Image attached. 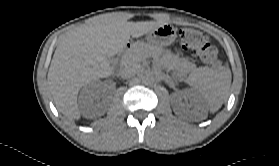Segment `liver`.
Masks as SVG:
<instances>
[{
    "label": "liver",
    "mask_w": 279,
    "mask_h": 166,
    "mask_svg": "<svg viewBox=\"0 0 279 166\" xmlns=\"http://www.w3.org/2000/svg\"><path fill=\"white\" fill-rule=\"evenodd\" d=\"M161 22H128L119 13L103 15L60 38L48 72V84L57 109L70 119L81 116L77 95L81 87L112 75L108 56L121 52L130 36L148 34Z\"/></svg>",
    "instance_id": "6515ba94"
}]
</instances>
